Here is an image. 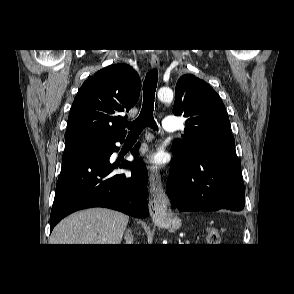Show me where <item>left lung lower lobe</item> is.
Returning a JSON list of instances; mask_svg holds the SVG:
<instances>
[{
  "label": "left lung lower lobe",
  "mask_w": 294,
  "mask_h": 294,
  "mask_svg": "<svg viewBox=\"0 0 294 294\" xmlns=\"http://www.w3.org/2000/svg\"><path fill=\"white\" fill-rule=\"evenodd\" d=\"M167 194L181 211H240L245 205L241 162L218 153L181 157L173 152Z\"/></svg>",
  "instance_id": "0a47b994"
}]
</instances>
